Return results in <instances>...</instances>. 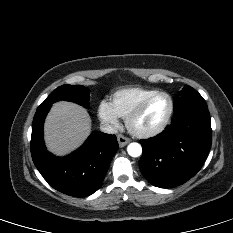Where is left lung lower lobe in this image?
Here are the masks:
<instances>
[{
    "instance_id": "0a47b994",
    "label": "left lung lower lobe",
    "mask_w": 233,
    "mask_h": 233,
    "mask_svg": "<svg viewBox=\"0 0 233 233\" xmlns=\"http://www.w3.org/2000/svg\"><path fill=\"white\" fill-rule=\"evenodd\" d=\"M212 129L207 107L194 106L175 114L171 125L159 135L141 140L139 162L152 185L169 188L192 178L202 167L211 148Z\"/></svg>"
}]
</instances>
